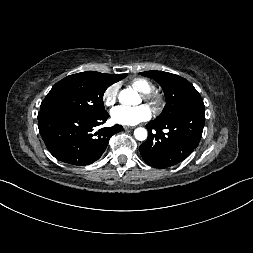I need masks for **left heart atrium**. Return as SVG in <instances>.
<instances>
[{"label": "left heart atrium", "instance_id": "39dd6f15", "mask_svg": "<svg viewBox=\"0 0 253 253\" xmlns=\"http://www.w3.org/2000/svg\"><path fill=\"white\" fill-rule=\"evenodd\" d=\"M152 116V110L148 105H139L136 107L119 106L112 110V120L121 125L130 126L140 122L147 121Z\"/></svg>", "mask_w": 253, "mask_h": 253}]
</instances>
